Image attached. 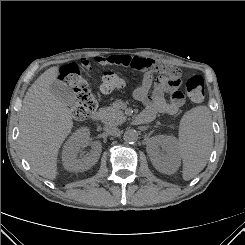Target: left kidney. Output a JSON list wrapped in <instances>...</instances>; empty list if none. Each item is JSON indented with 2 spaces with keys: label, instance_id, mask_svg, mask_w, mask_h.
I'll return each mask as SVG.
<instances>
[{
  "label": "left kidney",
  "instance_id": "1",
  "mask_svg": "<svg viewBox=\"0 0 245 245\" xmlns=\"http://www.w3.org/2000/svg\"><path fill=\"white\" fill-rule=\"evenodd\" d=\"M146 150L154 167L162 173H173L180 166L179 145L173 136L151 137Z\"/></svg>",
  "mask_w": 245,
  "mask_h": 245
}]
</instances>
